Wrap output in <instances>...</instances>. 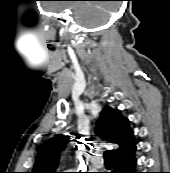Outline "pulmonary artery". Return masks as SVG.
Returning <instances> with one entry per match:
<instances>
[{
	"label": "pulmonary artery",
	"mask_w": 170,
	"mask_h": 173,
	"mask_svg": "<svg viewBox=\"0 0 170 173\" xmlns=\"http://www.w3.org/2000/svg\"><path fill=\"white\" fill-rule=\"evenodd\" d=\"M91 163H92V165H93L94 167L100 168V167L103 166L104 161H103L102 158L94 156V157H92V159H91Z\"/></svg>",
	"instance_id": "e3ab8cb5"
}]
</instances>
